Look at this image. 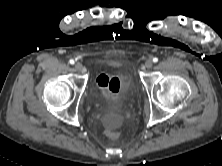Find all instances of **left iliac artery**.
<instances>
[{
    "instance_id": "obj_1",
    "label": "left iliac artery",
    "mask_w": 222,
    "mask_h": 166,
    "mask_svg": "<svg viewBox=\"0 0 222 166\" xmlns=\"http://www.w3.org/2000/svg\"><path fill=\"white\" fill-rule=\"evenodd\" d=\"M153 62H154V63L158 62V58L154 57V58H153Z\"/></svg>"
}]
</instances>
